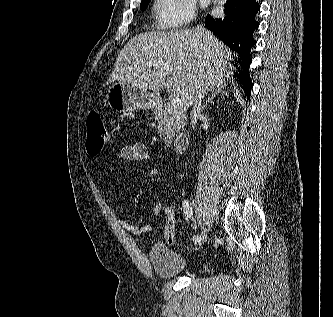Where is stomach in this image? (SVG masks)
Wrapping results in <instances>:
<instances>
[{
	"instance_id": "obj_1",
	"label": "stomach",
	"mask_w": 333,
	"mask_h": 317,
	"mask_svg": "<svg viewBox=\"0 0 333 317\" xmlns=\"http://www.w3.org/2000/svg\"><path fill=\"white\" fill-rule=\"evenodd\" d=\"M106 97L111 108L119 112L144 110L156 104L153 94L127 80L110 86Z\"/></svg>"
}]
</instances>
